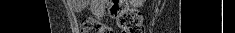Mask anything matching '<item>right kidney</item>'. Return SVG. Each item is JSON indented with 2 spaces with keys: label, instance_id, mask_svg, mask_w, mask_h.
Wrapping results in <instances>:
<instances>
[{
  "label": "right kidney",
  "instance_id": "right-kidney-1",
  "mask_svg": "<svg viewBox=\"0 0 235 33\" xmlns=\"http://www.w3.org/2000/svg\"><path fill=\"white\" fill-rule=\"evenodd\" d=\"M134 7H140L142 6V1L141 0H135V2L133 3Z\"/></svg>",
  "mask_w": 235,
  "mask_h": 33
}]
</instances>
